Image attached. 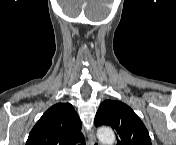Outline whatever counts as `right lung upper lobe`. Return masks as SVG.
<instances>
[{"label":"right lung upper lobe","mask_w":176,"mask_h":145,"mask_svg":"<svg viewBox=\"0 0 176 145\" xmlns=\"http://www.w3.org/2000/svg\"><path fill=\"white\" fill-rule=\"evenodd\" d=\"M83 140L81 121L73 106L58 103L42 115L26 145H75Z\"/></svg>","instance_id":"cb5924a9"}]
</instances>
